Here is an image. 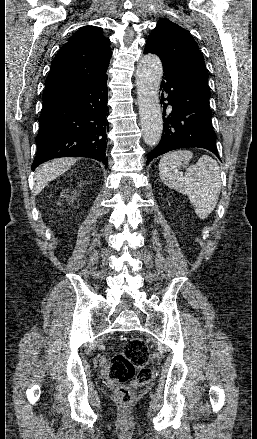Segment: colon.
I'll return each instance as SVG.
<instances>
[{"instance_id":"obj_1","label":"colon","mask_w":257,"mask_h":439,"mask_svg":"<svg viewBox=\"0 0 257 439\" xmlns=\"http://www.w3.org/2000/svg\"><path fill=\"white\" fill-rule=\"evenodd\" d=\"M149 359L147 345L138 338L128 340L122 352L112 358L108 381L120 403L129 404L133 400V391L128 382L134 379L135 384H145L153 378Z\"/></svg>"}]
</instances>
